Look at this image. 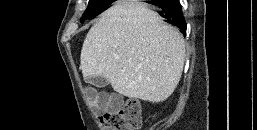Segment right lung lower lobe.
Returning a JSON list of instances; mask_svg holds the SVG:
<instances>
[{"mask_svg":"<svg viewBox=\"0 0 257 130\" xmlns=\"http://www.w3.org/2000/svg\"><path fill=\"white\" fill-rule=\"evenodd\" d=\"M151 4L161 9L160 15L166 19L167 23L177 26L184 33L186 32V23L179 0H162Z\"/></svg>","mask_w":257,"mask_h":130,"instance_id":"obj_1","label":"right lung lower lobe"}]
</instances>
